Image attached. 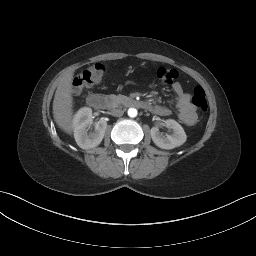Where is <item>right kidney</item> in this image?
<instances>
[{
    "label": "right kidney",
    "mask_w": 256,
    "mask_h": 256,
    "mask_svg": "<svg viewBox=\"0 0 256 256\" xmlns=\"http://www.w3.org/2000/svg\"><path fill=\"white\" fill-rule=\"evenodd\" d=\"M93 124L92 109L83 107L79 109L73 118L74 138L77 145L82 149H91L97 147L104 138L107 128L105 120H99L95 124V130L88 132Z\"/></svg>",
    "instance_id": "right-kidney-1"
}]
</instances>
